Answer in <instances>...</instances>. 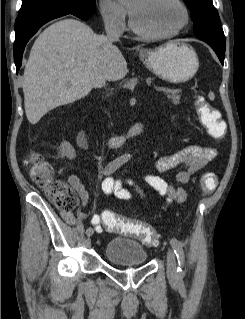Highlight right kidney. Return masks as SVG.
Masks as SVG:
<instances>
[{
	"mask_svg": "<svg viewBox=\"0 0 245 319\" xmlns=\"http://www.w3.org/2000/svg\"><path fill=\"white\" fill-rule=\"evenodd\" d=\"M60 153L62 156H65L69 159H73L76 156L74 148L70 145L69 142L66 141L61 143Z\"/></svg>",
	"mask_w": 245,
	"mask_h": 319,
	"instance_id": "ca27d5eb",
	"label": "right kidney"
}]
</instances>
